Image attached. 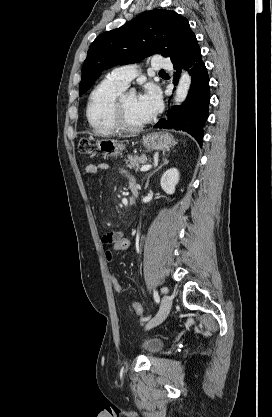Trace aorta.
Instances as JSON below:
<instances>
[{
  "label": "aorta",
  "mask_w": 272,
  "mask_h": 417,
  "mask_svg": "<svg viewBox=\"0 0 272 417\" xmlns=\"http://www.w3.org/2000/svg\"><path fill=\"white\" fill-rule=\"evenodd\" d=\"M191 86V76L187 71H182L181 77L176 89L174 103L180 105L183 103L188 95Z\"/></svg>",
  "instance_id": "762f6f07"
}]
</instances>
